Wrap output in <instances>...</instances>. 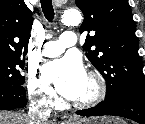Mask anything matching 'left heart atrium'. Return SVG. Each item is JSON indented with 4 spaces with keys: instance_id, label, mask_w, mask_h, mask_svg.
<instances>
[{
    "instance_id": "obj_1",
    "label": "left heart atrium",
    "mask_w": 145,
    "mask_h": 124,
    "mask_svg": "<svg viewBox=\"0 0 145 124\" xmlns=\"http://www.w3.org/2000/svg\"><path fill=\"white\" fill-rule=\"evenodd\" d=\"M43 74L62 96L70 100L77 96L87 76L80 59L75 56L46 64Z\"/></svg>"
}]
</instances>
